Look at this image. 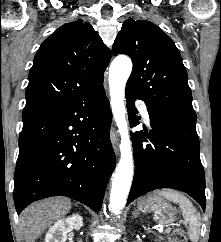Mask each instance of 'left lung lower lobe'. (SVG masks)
Returning a JSON list of instances; mask_svg holds the SVG:
<instances>
[{
    "label": "left lung lower lobe",
    "mask_w": 221,
    "mask_h": 242,
    "mask_svg": "<svg viewBox=\"0 0 221 242\" xmlns=\"http://www.w3.org/2000/svg\"><path fill=\"white\" fill-rule=\"evenodd\" d=\"M134 93L126 90L127 109L131 125L136 126L137 109ZM152 130L131 136L135 173L127 205L137 197L159 188L186 192L205 211V175L200 160L196 123L187 122L148 109Z\"/></svg>",
    "instance_id": "1"
}]
</instances>
